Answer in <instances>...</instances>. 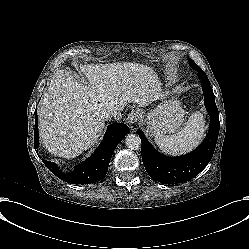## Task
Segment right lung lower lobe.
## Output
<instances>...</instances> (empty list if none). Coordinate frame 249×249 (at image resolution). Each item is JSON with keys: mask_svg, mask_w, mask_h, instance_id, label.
<instances>
[{"mask_svg": "<svg viewBox=\"0 0 249 249\" xmlns=\"http://www.w3.org/2000/svg\"><path fill=\"white\" fill-rule=\"evenodd\" d=\"M34 146L38 148V122L35 111ZM130 133L127 125L115 123L108 126L105 136L94 154L85 162L76 167L72 174L62 173L56 164L43 160L45 166L60 179L71 184H87L100 181L108 171V166L113 152L123 138Z\"/></svg>", "mask_w": 249, "mask_h": 249, "instance_id": "98d812e1", "label": "right lung lower lobe"}]
</instances>
